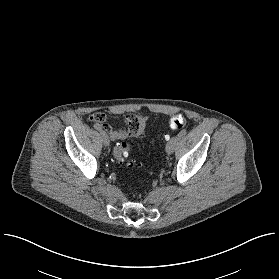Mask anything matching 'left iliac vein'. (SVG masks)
<instances>
[{
  "label": "left iliac vein",
  "instance_id": "left-iliac-vein-1",
  "mask_svg": "<svg viewBox=\"0 0 279 279\" xmlns=\"http://www.w3.org/2000/svg\"><path fill=\"white\" fill-rule=\"evenodd\" d=\"M178 140H179V137L175 136L167 143L166 152L168 154H172L174 152Z\"/></svg>",
  "mask_w": 279,
  "mask_h": 279
}]
</instances>
